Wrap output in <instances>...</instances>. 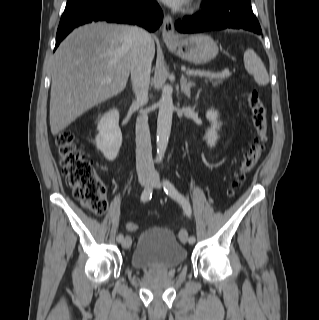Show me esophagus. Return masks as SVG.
I'll return each instance as SVG.
<instances>
[{
    "instance_id": "esophagus-1",
    "label": "esophagus",
    "mask_w": 319,
    "mask_h": 320,
    "mask_svg": "<svg viewBox=\"0 0 319 320\" xmlns=\"http://www.w3.org/2000/svg\"><path fill=\"white\" fill-rule=\"evenodd\" d=\"M162 35L165 42L173 41L177 38L174 21L169 14L164 17Z\"/></svg>"
}]
</instances>
